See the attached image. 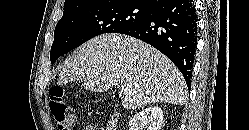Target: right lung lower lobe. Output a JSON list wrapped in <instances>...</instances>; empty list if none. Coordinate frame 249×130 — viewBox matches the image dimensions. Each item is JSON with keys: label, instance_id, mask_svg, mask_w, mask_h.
<instances>
[{"label": "right lung lower lobe", "instance_id": "1", "mask_svg": "<svg viewBox=\"0 0 249 130\" xmlns=\"http://www.w3.org/2000/svg\"><path fill=\"white\" fill-rule=\"evenodd\" d=\"M119 33L138 38L165 54L189 86L197 44V16L193 0H162L147 18Z\"/></svg>", "mask_w": 249, "mask_h": 130}]
</instances>
